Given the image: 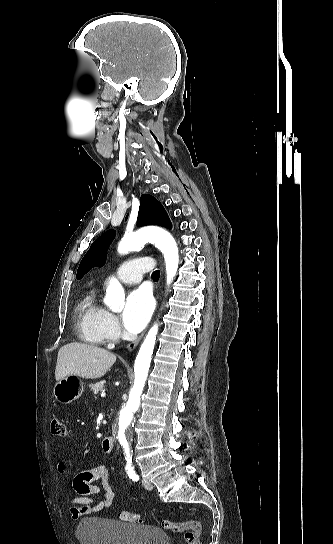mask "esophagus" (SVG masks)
<instances>
[{
	"label": "esophagus",
	"mask_w": 333,
	"mask_h": 544,
	"mask_svg": "<svg viewBox=\"0 0 333 544\" xmlns=\"http://www.w3.org/2000/svg\"><path fill=\"white\" fill-rule=\"evenodd\" d=\"M156 297H157V296H156ZM143 335H144V332H143L136 340H134V341H132L131 343H129V344L127 345V351H129V352L133 351V350L137 347V345L139 344V342L141 341Z\"/></svg>",
	"instance_id": "1"
}]
</instances>
